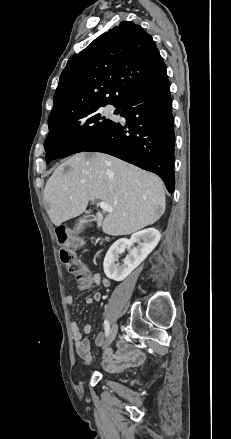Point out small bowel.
Instances as JSON below:
<instances>
[{"label":"small bowel","mask_w":231,"mask_h":439,"mask_svg":"<svg viewBox=\"0 0 231 439\" xmlns=\"http://www.w3.org/2000/svg\"><path fill=\"white\" fill-rule=\"evenodd\" d=\"M91 284L100 286L104 289H108L110 287V281L107 278L102 277L100 273L91 274ZM91 286V285H90ZM102 298V294L100 292L93 293L92 296L86 298L87 304H93L94 302L100 301ZM66 304L68 307H71L74 302V296L72 294H68L65 298ZM70 330L72 333V338L74 340L75 349L78 356L84 362H90L92 359L90 353V341L88 338L83 336L80 331L78 322L75 319L70 320ZM83 333L88 335L91 333V325L86 324L83 328ZM97 346H103L104 337L100 332L97 334L95 339ZM102 356V366L111 372L119 371L127 367L137 366L144 362L145 355L144 353L122 341L118 344L117 349L112 351L111 349H106Z\"/></svg>","instance_id":"1"}]
</instances>
